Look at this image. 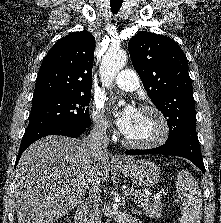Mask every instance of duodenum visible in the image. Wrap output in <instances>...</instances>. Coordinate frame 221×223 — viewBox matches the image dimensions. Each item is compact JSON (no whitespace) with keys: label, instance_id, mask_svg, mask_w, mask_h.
<instances>
[{"label":"duodenum","instance_id":"duodenum-1","mask_svg":"<svg viewBox=\"0 0 221 223\" xmlns=\"http://www.w3.org/2000/svg\"><path fill=\"white\" fill-rule=\"evenodd\" d=\"M87 214H88V207L84 204L79 205L75 214L76 223H86Z\"/></svg>","mask_w":221,"mask_h":223}]
</instances>
